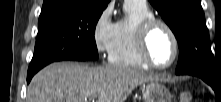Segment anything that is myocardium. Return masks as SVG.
Masks as SVG:
<instances>
[{"label":"myocardium","instance_id":"myocardium-1","mask_svg":"<svg viewBox=\"0 0 221 102\" xmlns=\"http://www.w3.org/2000/svg\"><path fill=\"white\" fill-rule=\"evenodd\" d=\"M157 27H163L169 33L174 44L173 57L169 63L164 65L155 63L149 54V38L153 30ZM136 48L144 64L150 68L159 70L171 67L176 62L180 52L179 40L172 27L167 22L155 17L146 19L139 25L136 33Z\"/></svg>","mask_w":221,"mask_h":102}]
</instances>
